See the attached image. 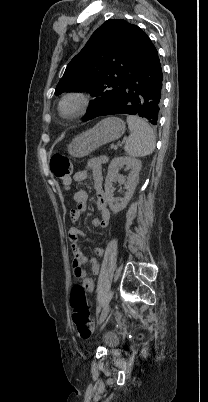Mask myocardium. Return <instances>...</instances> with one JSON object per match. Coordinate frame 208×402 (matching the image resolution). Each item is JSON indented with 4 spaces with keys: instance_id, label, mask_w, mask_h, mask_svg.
I'll list each match as a JSON object with an SVG mask.
<instances>
[{
    "instance_id": "1",
    "label": "myocardium",
    "mask_w": 208,
    "mask_h": 402,
    "mask_svg": "<svg viewBox=\"0 0 208 402\" xmlns=\"http://www.w3.org/2000/svg\"><path fill=\"white\" fill-rule=\"evenodd\" d=\"M78 101V106L70 111V112H66L65 111V106L67 103L71 102V101ZM91 104V100L89 98V96H87L86 94L82 93V92H68L65 93L60 100L58 101L57 104V111H58V115L62 118V119H74V118H78L82 115H84Z\"/></svg>"
}]
</instances>
